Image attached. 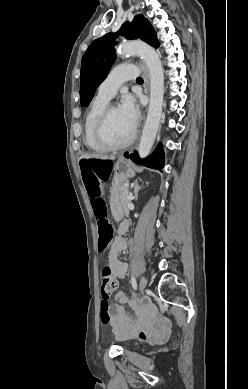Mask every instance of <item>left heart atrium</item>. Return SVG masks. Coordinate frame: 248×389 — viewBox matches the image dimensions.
<instances>
[{
	"label": "left heart atrium",
	"instance_id": "left-heart-atrium-1",
	"mask_svg": "<svg viewBox=\"0 0 248 389\" xmlns=\"http://www.w3.org/2000/svg\"><path fill=\"white\" fill-rule=\"evenodd\" d=\"M119 109L129 124L132 127H135L139 117V110L135 99L130 94H125L122 98Z\"/></svg>",
	"mask_w": 248,
	"mask_h": 389
}]
</instances>
